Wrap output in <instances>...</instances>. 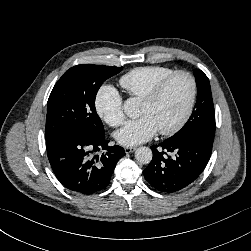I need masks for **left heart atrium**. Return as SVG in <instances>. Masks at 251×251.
Returning a JSON list of instances; mask_svg holds the SVG:
<instances>
[{"instance_id":"1","label":"left heart atrium","mask_w":251,"mask_h":251,"mask_svg":"<svg viewBox=\"0 0 251 251\" xmlns=\"http://www.w3.org/2000/svg\"><path fill=\"white\" fill-rule=\"evenodd\" d=\"M158 129L149 116H141L129 120L116 132V141L126 147L136 146L150 140L157 133Z\"/></svg>"}]
</instances>
